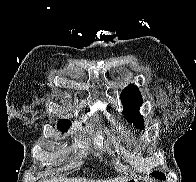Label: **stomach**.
Listing matches in <instances>:
<instances>
[{"label": "stomach", "mask_w": 196, "mask_h": 182, "mask_svg": "<svg viewBox=\"0 0 196 182\" xmlns=\"http://www.w3.org/2000/svg\"><path fill=\"white\" fill-rule=\"evenodd\" d=\"M126 182H139V179H137V178H130Z\"/></svg>", "instance_id": "1"}]
</instances>
